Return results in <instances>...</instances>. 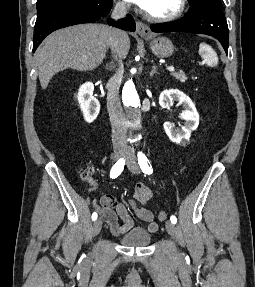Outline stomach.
<instances>
[{
    "instance_id": "0dacf381",
    "label": "stomach",
    "mask_w": 255,
    "mask_h": 287,
    "mask_svg": "<svg viewBox=\"0 0 255 287\" xmlns=\"http://www.w3.org/2000/svg\"><path fill=\"white\" fill-rule=\"evenodd\" d=\"M144 40H150V50L157 58H169L174 52V46L168 38H153L148 36Z\"/></svg>"
}]
</instances>
